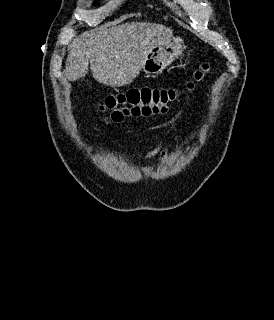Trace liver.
I'll return each instance as SVG.
<instances>
[{
    "instance_id": "liver-1",
    "label": "liver",
    "mask_w": 274,
    "mask_h": 320,
    "mask_svg": "<svg viewBox=\"0 0 274 320\" xmlns=\"http://www.w3.org/2000/svg\"><path fill=\"white\" fill-rule=\"evenodd\" d=\"M173 36L162 24L127 22L121 26H100L84 32L69 46L65 74L75 82L88 74L111 88L128 86L140 74L142 64L153 48L165 44Z\"/></svg>"
}]
</instances>
